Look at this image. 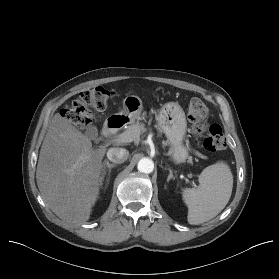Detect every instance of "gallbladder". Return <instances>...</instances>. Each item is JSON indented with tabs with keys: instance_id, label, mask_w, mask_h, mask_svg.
Here are the masks:
<instances>
[{
	"instance_id": "gallbladder-1",
	"label": "gallbladder",
	"mask_w": 279,
	"mask_h": 279,
	"mask_svg": "<svg viewBox=\"0 0 279 279\" xmlns=\"http://www.w3.org/2000/svg\"><path fill=\"white\" fill-rule=\"evenodd\" d=\"M86 136L89 137L90 139H95L98 136V130L94 126H90L86 129L85 132Z\"/></svg>"
}]
</instances>
